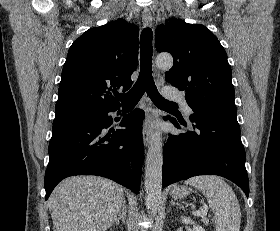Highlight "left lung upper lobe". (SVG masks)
Listing matches in <instances>:
<instances>
[{
  "mask_svg": "<svg viewBox=\"0 0 280 231\" xmlns=\"http://www.w3.org/2000/svg\"><path fill=\"white\" fill-rule=\"evenodd\" d=\"M158 52H169L173 67L166 81L184 90L194 114L237 115L232 71L216 36L203 25L170 19L155 32Z\"/></svg>",
  "mask_w": 280,
  "mask_h": 231,
  "instance_id": "obj_1",
  "label": "left lung upper lobe"
}]
</instances>
